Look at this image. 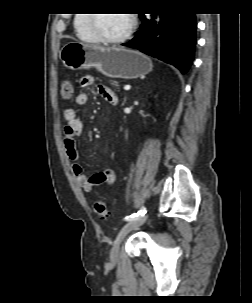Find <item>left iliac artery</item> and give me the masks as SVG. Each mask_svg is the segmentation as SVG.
<instances>
[{"label": "left iliac artery", "mask_w": 252, "mask_h": 303, "mask_svg": "<svg viewBox=\"0 0 252 303\" xmlns=\"http://www.w3.org/2000/svg\"><path fill=\"white\" fill-rule=\"evenodd\" d=\"M145 213H146V207H145V206H142L141 209L138 211V213H134V214H132V215H130V216H126V217L124 218V220H125V221H131V220H133V219H135V218H137V217H139V216L144 215Z\"/></svg>", "instance_id": "obj_1"}]
</instances>
